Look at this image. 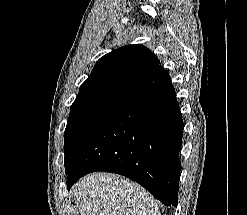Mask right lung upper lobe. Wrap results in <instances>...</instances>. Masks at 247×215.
<instances>
[{"instance_id":"obj_1","label":"right lung upper lobe","mask_w":247,"mask_h":215,"mask_svg":"<svg viewBox=\"0 0 247 215\" xmlns=\"http://www.w3.org/2000/svg\"><path fill=\"white\" fill-rule=\"evenodd\" d=\"M160 64L143 45H127L101 57L80 92L109 88H129L145 79Z\"/></svg>"}]
</instances>
